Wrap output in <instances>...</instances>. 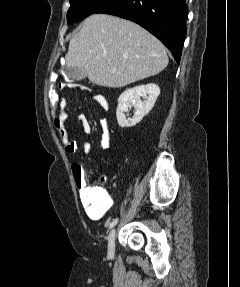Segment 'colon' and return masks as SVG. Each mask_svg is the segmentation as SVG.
<instances>
[{
	"label": "colon",
	"instance_id": "1",
	"mask_svg": "<svg viewBox=\"0 0 240 287\" xmlns=\"http://www.w3.org/2000/svg\"><path fill=\"white\" fill-rule=\"evenodd\" d=\"M58 73L54 72L50 76V86L47 93V104L49 107V112L51 115L52 122L55 125H59L62 122H64L67 118L66 114V107L67 102L66 100L61 96L60 92L66 88H83V86L64 82V81H58ZM75 175L78 177V185L80 188H82L85 191H90L91 188L87 187L85 184V181L82 177V172L80 167L74 168Z\"/></svg>",
	"mask_w": 240,
	"mask_h": 287
}]
</instances>
